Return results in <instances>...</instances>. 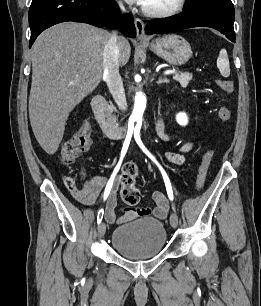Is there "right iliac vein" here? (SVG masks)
Masks as SVG:
<instances>
[{"label": "right iliac vein", "instance_id": "obj_1", "mask_svg": "<svg viewBox=\"0 0 261 306\" xmlns=\"http://www.w3.org/2000/svg\"><path fill=\"white\" fill-rule=\"evenodd\" d=\"M106 226L105 223L101 222L98 226V236L102 238L105 235Z\"/></svg>", "mask_w": 261, "mask_h": 306}]
</instances>
